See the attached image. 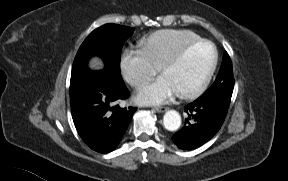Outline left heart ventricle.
I'll use <instances>...</instances> for the list:
<instances>
[{
    "mask_svg": "<svg viewBox=\"0 0 288 181\" xmlns=\"http://www.w3.org/2000/svg\"><path fill=\"white\" fill-rule=\"evenodd\" d=\"M215 51L209 44H201L190 50L176 66L162 75L172 84L177 93L198 86L209 73Z\"/></svg>",
    "mask_w": 288,
    "mask_h": 181,
    "instance_id": "obj_1",
    "label": "left heart ventricle"
}]
</instances>
